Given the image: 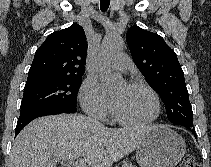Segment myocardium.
<instances>
[{
	"instance_id": "obj_1",
	"label": "myocardium",
	"mask_w": 211,
	"mask_h": 167,
	"mask_svg": "<svg viewBox=\"0 0 211 167\" xmlns=\"http://www.w3.org/2000/svg\"><path fill=\"white\" fill-rule=\"evenodd\" d=\"M127 86L132 87V88H140V89L147 90L152 95V97L154 99L155 112H154L153 116L150 117L147 120H144V121H133V120H129V119H126V118L122 117L114 109L113 112H114L115 118L121 124L128 125V126H146V125H149V124L153 123L159 117V115L161 113V102H160V98H159L158 93L150 85H148V84H146L144 82H140V81H131V82H129L127 84Z\"/></svg>"
}]
</instances>
